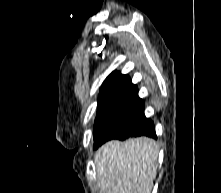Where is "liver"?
<instances>
[{"instance_id":"6515ba94","label":"liver","mask_w":221,"mask_h":193,"mask_svg":"<svg viewBox=\"0 0 221 193\" xmlns=\"http://www.w3.org/2000/svg\"><path fill=\"white\" fill-rule=\"evenodd\" d=\"M158 154L148 137L107 142L95 154L99 187L103 193H151Z\"/></svg>"}]
</instances>
